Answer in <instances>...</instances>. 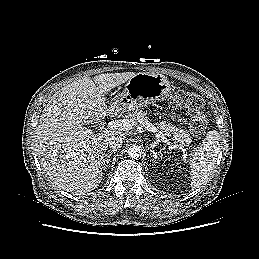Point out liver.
<instances>
[{"label":"liver","instance_id":"1","mask_svg":"<svg viewBox=\"0 0 259 259\" xmlns=\"http://www.w3.org/2000/svg\"><path fill=\"white\" fill-rule=\"evenodd\" d=\"M135 75L83 77L58 90L44 108L35 132V148L47 178L58 188L83 194L100 184L106 139L113 135L125 138L126 134L115 129L95 133L84 125L105 118L114 109L106 105L105 95Z\"/></svg>","mask_w":259,"mask_h":259}]
</instances>
